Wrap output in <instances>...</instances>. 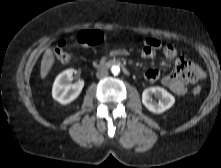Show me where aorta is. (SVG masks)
<instances>
[{"mask_svg": "<svg viewBox=\"0 0 221 168\" xmlns=\"http://www.w3.org/2000/svg\"><path fill=\"white\" fill-rule=\"evenodd\" d=\"M111 72L114 74V75H118L120 73V67L118 65H113L111 67Z\"/></svg>", "mask_w": 221, "mask_h": 168, "instance_id": "aorta-1", "label": "aorta"}]
</instances>
